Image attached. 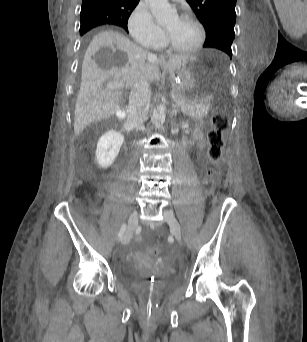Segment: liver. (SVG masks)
I'll return each instance as SVG.
<instances>
[{
	"label": "liver",
	"instance_id": "6515ba94",
	"mask_svg": "<svg viewBox=\"0 0 307 342\" xmlns=\"http://www.w3.org/2000/svg\"><path fill=\"white\" fill-rule=\"evenodd\" d=\"M148 52L130 42L123 34L106 30L94 36L84 56L81 84L74 110V136H79L92 122L111 118L120 108L123 92L104 86L106 80L124 82L132 88L139 80H159L162 70H178L195 60L190 56H170L148 60Z\"/></svg>",
	"mask_w": 307,
	"mask_h": 342
}]
</instances>
